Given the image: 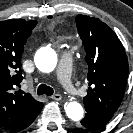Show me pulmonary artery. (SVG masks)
Masks as SVG:
<instances>
[{
    "instance_id": "1",
    "label": "pulmonary artery",
    "mask_w": 133,
    "mask_h": 133,
    "mask_svg": "<svg viewBox=\"0 0 133 133\" xmlns=\"http://www.w3.org/2000/svg\"><path fill=\"white\" fill-rule=\"evenodd\" d=\"M72 73V55L65 53L58 64L56 71V79L70 93L75 92V88L71 79Z\"/></svg>"
}]
</instances>
